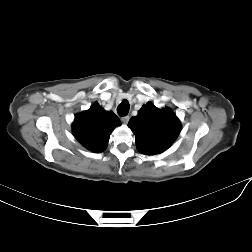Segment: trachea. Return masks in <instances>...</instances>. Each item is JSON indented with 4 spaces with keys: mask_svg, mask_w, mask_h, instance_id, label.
I'll return each instance as SVG.
<instances>
[{
    "mask_svg": "<svg viewBox=\"0 0 252 252\" xmlns=\"http://www.w3.org/2000/svg\"><path fill=\"white\" fill-rule=\"evenodd\" d=\"M129 102L125 99L117 107V111L120 115L126 116L129 112Z\"/></svg>",
    "mask_w": 252,
    "mask_h": 252,
    "instance_id": "obj_1",
    "label": "trachea"
}]
</instances>
